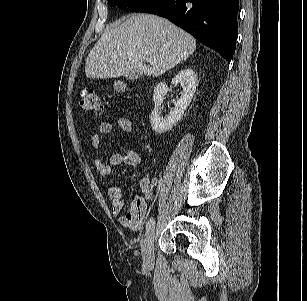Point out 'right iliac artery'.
Segmentation results:
<instances>
[{
  "label": "right iliac artery",
  "instance_id": "1",
  "mask_svg": "<svg viewBox=\"0 0 307 301\" xmlns=\"http://www.w3.org/2000/svg\"><path fill=\"white\" fill-rule=\"evenodd\" d=\"M155 220L154 218H150L146 224V231L148 232L154 225Z\"/></svg>",
  "mask_w": 307,
  "mask_h": 301
}]
</instances>
